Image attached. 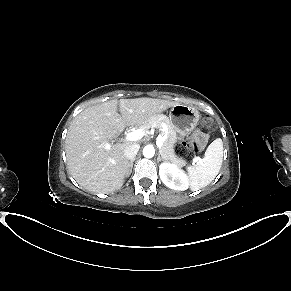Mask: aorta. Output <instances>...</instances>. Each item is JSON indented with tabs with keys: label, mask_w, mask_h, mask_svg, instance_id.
<instances>
[{
	"label": "aorta",
	"mask_w": 291,
	"mask_h": 291,
	"mask_svg": "<svg viewBox=\"0 0 291 291\" xmlns=\"http://www.w3.org/2000/svg\"><path fill=\"white\" fill-rule=\"evenodd\" d=\"M155 154V149L152 145H147L143 148V156L146 158H152Z\"/></svg>",
	"instance_id": "1"
}]
</instances>
